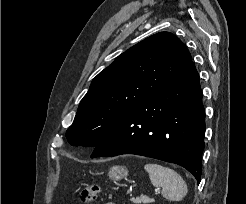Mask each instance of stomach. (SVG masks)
Wrapping results in <instances>:
<instances>
[{"label": "stomach", "mask_w": 246, "mask_h": 204, "mask_svg": "<svg viewBox=\"0 0 246 204\" xmlns=\"http://www.w3.org/2000/svg\"><path fill=\"white\" fill-rule=\"evenodd\" d=\"M110 179L117 181L128 176V169L124 166H113L108 172Z\"/></svg>", "instance_id": "stomach-1"}]
</instances>
